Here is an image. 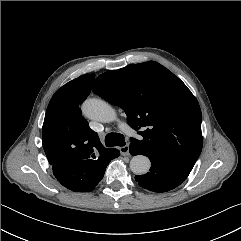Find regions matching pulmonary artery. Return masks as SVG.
Instances as JSON below:
<instances>
[{"label":"pulmonary artery","mask_w":241,"mask_h":241,"mask_svg":"<svg viewBox=\"0 0 241 241\" xmlns=\"http://www.w3.org/2000/svg\"><path fill=\"white\" fill-rule=\"evenodd\" d=\"M124 131H126L129 135H132V131L130 129H126L125 127H122Z\"/></svg>","instance_id":"pulmonary-artery-1"}]
</instances>
